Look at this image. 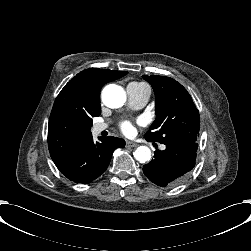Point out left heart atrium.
Segmentation results:
<instances>
[{
	"label": "left heart atrium",
	"mask_w": 251,
	"mask_h": 251,
	"mask_svg": "<svg viewBox=\"0 0 251 251\" xmlns=\"http://www.w3.org/2000/svg\"><path fill=\"white\" fill-rule=\"evenodd\" d=\"M120 127H121V130L125 133H129L132 131V126L128 121L122 122Z\"/></svg>",
	"instance_id": "obj_1"
}]
</instances>
